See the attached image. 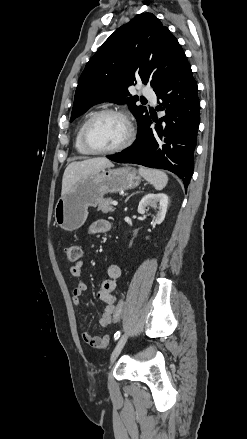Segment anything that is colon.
Returning a JSON list of instances; mask_svg holds the SVG:
<instances>
[{"mask_svg": "<svg viewBox=\"0 0 247 439\" xmlns=\"http://www.w3.org/2000/svg\"><path fill=\"white\" fill-rule=\"evenodd\" d=\"M82 255L81 248L78 245H72L67 249V259L70 262H77ZM125 302L123 299H120L114 307V311L112 313V323H117L124 312Z\"/></svg>", "mask_w": 247, "mask_h": 439, "instance_id": "obj_1", "label": "colon"}]
</instances>
